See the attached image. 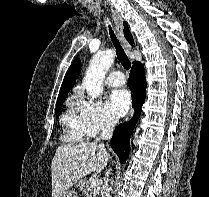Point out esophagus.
<instances>
[{"mask_svg": "<svg viewBox=\"0 0 209 197\" xmlns=\"http://www.w3.org/2000/svg\"><path fill=\"white\" fill-rule=\"evenodd\" d=\"M110 11H111L114 23H115V28H116L118 37H119V39H120V41H121V43H122L126 53L130 54L131 46H130V44L128 43V41L126 40V38L124 36L123 19H122L121 15L117 11L113 10L112 8H111ZM133 113H134V111L131 112L130 116H132Z\"/></svg>", "mask_w": 209, "mask_h": 197, "instance_id": "34e87169", "label": "esophagus"}]
</instances>
